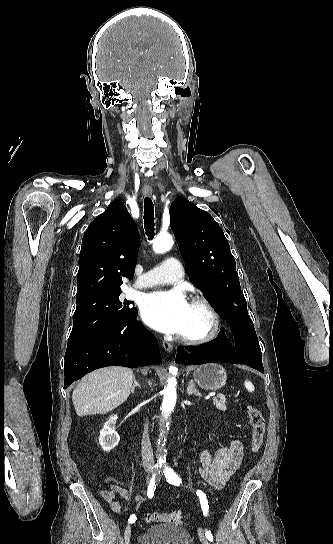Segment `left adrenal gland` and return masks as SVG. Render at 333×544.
I'll use <instances>...</instances> for the list:
<instances>
[{
    "instance_id": "1",
    "label": "left adrenal gland",
    "mask_w": 333,
    "mask_h": 544,
    "mask_svg": "<svg viewBox=\"0 0 333 544\" xmlns=\"http://www.w3.org/2000/svg\"><path fill=\"white\" fill-rule=\"evenodd\" d=\"M187 394L188 395H195L197 397H201V393L195 388V383L193 380H190L188 387H187Z\"/></svg>"
}]
</instances>
